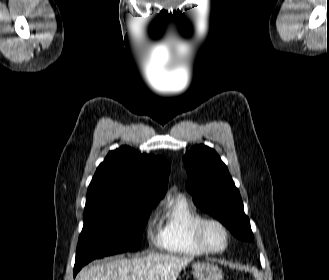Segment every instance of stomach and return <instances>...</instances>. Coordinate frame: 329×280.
Returning <instances> with one entry per match:
<instances>
[{
	"mask_svg": "<svg viewBox=\"0 0 329 280\" xmlns=\"http://www.w3.org/2000/svg\"><path fill=\"white\" fill-rule=\"evenodd\" d=\"M193 276L197 280H222L223 275L218 265L210 262H197L192 266Z\"/></svg>",
	"mask_w": 329,
	"mask_h": 280,
	"instance_id": "0dacf381",
	"label": "stomach"
}]
</instances>
